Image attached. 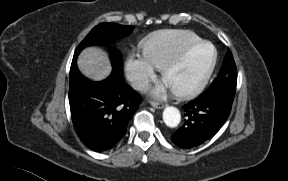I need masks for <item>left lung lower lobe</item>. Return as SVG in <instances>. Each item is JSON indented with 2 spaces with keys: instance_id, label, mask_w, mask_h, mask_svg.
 <instances>
[{
  "instance_id": "1",
  "label": "left lung lower lobe",
  "mask_w": 288,
  "mask_h": 181,
  "mask_svg": "<svg viewBox=\"0 0 288 181\" xmlns=\"http://www.w3.org/2000/svg\"><path fill=\"white\" fill-rule=\"evenodd\" d=\"M233 101L222 96H200L183 108L187 117L184 125L171 140L179 147L189 149L212 138L228 118Z\"/></svg>"
}]
</instances>
